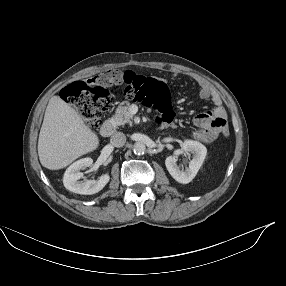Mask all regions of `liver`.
I'll return each mask as SVG.
<instances>
[{
	"instance_id": "6515ba94",
	"label": "liver",
	"mask_w": 286,
	"mask_h": 286,
	"mask_svg": "<svg viewBox=\"0 0 286 286\" xmlns=\"http://www.w3.org/2000/svg\"><path fill=\"white\" fill-rule=\"evenodd\" d=\"M97 135L84 123L78 112L59 96L47 105L38 139L42 166L58 170L80 156L97 149Z\"/></svg>"
}]
</instances>
